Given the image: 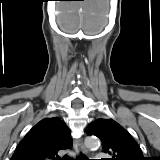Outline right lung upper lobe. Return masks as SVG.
<instances>
[{"instance_id":"right-lung-upper-lobe-1","label":"right lung upper lobe","mask_w":160,"mask_h":160,"mask_svg":"<svg viewBox=\"0 0 160 160\" xmlns=\"http://www.w3.org/2000/svg\"><path fill=\"white\" fill-rule=\"evenodd\" d=\"M71 147L66 124L58 117L45 118L20 141L10 160H66L58 152Z\"/></svg>"}]
</instances>
